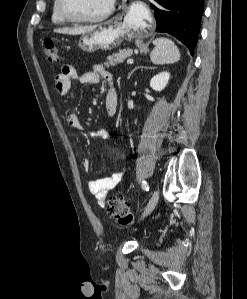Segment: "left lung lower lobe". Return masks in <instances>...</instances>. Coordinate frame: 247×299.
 I'll return each instance as SVG.
<instances>
[{
  "instance_id": "1",
  "label": "left lung lower lobe",
  "mask_w": 247,
  "mask_h": 299,
  "mask_svg": "<svg viewBox=\"0 0 247 299\" xmlns=\"http://www.w3.org/2000/svg\"><path fill=\"white\" fill-rule=\"evenodd\" d=\"M157 32L169 33L193 55L198 40L204 0H152Z\"/></svg>"
}]
</instances>
